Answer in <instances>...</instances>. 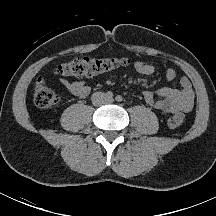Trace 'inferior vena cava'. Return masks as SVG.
<instances>
[{"label": "inferior vena cava", "instance_id": "obj_1", "mask_svg": "<svg viewBox=\"0 0 216 216\" xmlns=\"http://www.w3.org/2000/svg\"><path fill=\"white\" fill-rule=\"evenodd\" d=\"M91 100L94 106H102L104 104L109 103L106 94L103 92H95L92 95Z\"/></svg>", "mask_w": 216, "mask_h": 216}]
</instances>
